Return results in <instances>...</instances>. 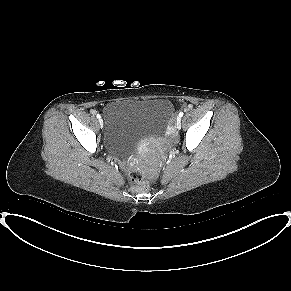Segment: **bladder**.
Masks as SVG:
<instances>
[{"instance_id":"31cf9c89","label":"bladder","mask_w":291,"mask_h":291,"mask_svg":"<svg viewBox=\"0 0 291 291\" xmlns=\"http://www.w3.org/2000/svg\"><path fill=\"white\" fill-rule=\"evenodd\" d=\"M173 113V104L165 98L108 103L102 118L107 150L127 153L142 139L161 135Z\"/></svg>"}]
</instances>
